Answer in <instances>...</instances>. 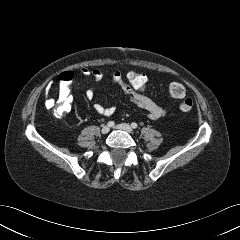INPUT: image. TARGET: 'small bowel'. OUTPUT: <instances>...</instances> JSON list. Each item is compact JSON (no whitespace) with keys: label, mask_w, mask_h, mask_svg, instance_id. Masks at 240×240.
Wrapping results in <instances>:
<instances>
[{"label":"small bowel","mask_w":240,"mask_h":240,"mask_svg":"<svg viewBox=\"0 0 240 240\" xmlns=\"http://www.w3.org/2000/svg\"><path fill=\"white\" fill-rule=\"evenodd\" d=\"M80 74L84 77L93 78V85L87 88L85 92L86 98L91 101L95 97V86L102 80L104 76L103 70L101 68L90 69L87 67H83L80 70ZM111 82L121 87L130 102H132L137 107L145 110L149 119L158 120L160 118H163L167 114L169 107L160 106L145 94L137 93L136 91L131 89L125 80V74L121 70L117 69L112 73ZM69 100L71 103L70 95ZM52 104V100H46L47 107H51ZM93 108L98 114L107 117L113 115L116 110L114 106L107 107L100 103H94Z\"/></svg>","instance_id":"c3829d8e"}]
</instances>
